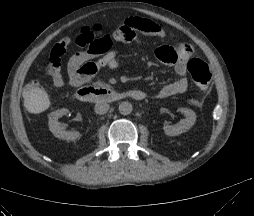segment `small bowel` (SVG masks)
Instances as JSON below:
<instances>
[{
  "label": "small bowel",
  "instance_id": "obj_1",
  "mask_svg": "<svg viewBox=\"0 0 254 216\" xmlns=\"http://www.w3.org/2000/svg\"><path fill=\"white\" fill-rule=\"evenodd\" d=\"M166 36L165 29L150 20L132 18L123 22L115 32V39L120 44H127L137 37H158ZM73 41L72 37L62 39L54 46L49 58V74L53 86L62 88L66 79L62 73V56L65 48ZM79 45V44H78ZM82 51L72 55L67 63V82L73 87L81 86L88 82L97 72L102 69H116L118 67L117 52L111 44L105 50L94 46L79 45ZM192 55V47L189 43L181 41L174 47L160 46L155 50V56L163 63L171 65L180 76L176 81L163 86L157 93L160 98H167L182 94L188 89V81L184 77L187 62ZM140 91L144 96L145 92Z\"/></svg>",
  "mask_w": 254,
  "mask_h": 216
}]
</instances>
